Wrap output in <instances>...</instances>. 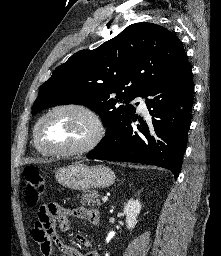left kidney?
<instances>
[{
    "instance_id": "obj_1",
    "label": "left kidney",
    "mask_w": 221,
    "mask_h": 256,
    "mask_svg": "<svg viewBox=\"0 0 221 256\" xmlns=\"http://www.w3.org/2000/svg\"><path fill=\"white\" fill-rule=\"evenodd\" d=\"M141 203L138 200L130 199L124 206L123 213L126 216L127 228L133 229L138 220L137 217L141 211Z\"/></svg>"
}]
</instances>
